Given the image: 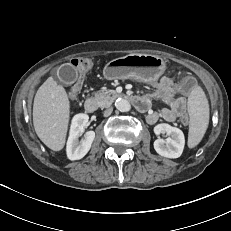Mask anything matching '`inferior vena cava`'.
I'll return each mask as SVG.
<instances>
[{
	"mask_svg": "<svg viewBox=\"0 0 231 231\" xmlns=\"http://www.w3.org/2000/svg\"><path fill=\"white\" fill-rule=\"evenodd\" d=\"M112 111H113V109L110 107V108H107L105 111H104V116H109V115H111V113H112Z\"/></svg>",
	"mask_w": 231,
	"mask_h": 231,
	"instance_id": "602c4592",
	"label": "inferior vena cava"
}]
</instances>
